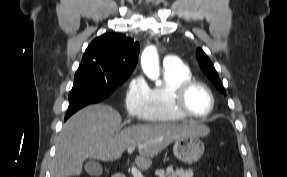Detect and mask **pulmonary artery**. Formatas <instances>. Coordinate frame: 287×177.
Returning <instances> with one entry per match:
<instances>
[{"label":"pulmonary artery","instance_id":"1","mask_svg":"<svg viewBox=\"0 0 287 177\" xmlns=\"http://www.w3.org/2000/svg\"><path fill=\"white\" fill-rule=\"evenodd\" d=\"M179 64V59L176 56H168L163 60L165 67H171Z\"/></svg>","mask_w":287,"mask_h":177}]
</instances>
